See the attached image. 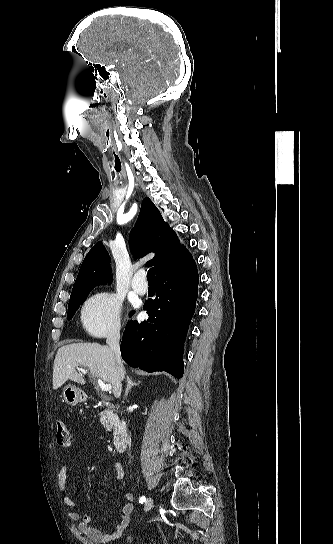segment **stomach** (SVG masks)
I'll return each mask as SVG.
<instances>
[{
  "label": "stomach",
  "instance_id": "1",
  "mask_svg": "<svg viewBox=\"0 0 333 544\" xmlns=\"http://www.w3.org/2000/svg\"><path fill=\"white\" fill-rule=\"evenodd\" d=\"M62 394L63 400L71 406H75L85 400V394L79 388L73 385L65 386Z\"/></svg>",
  "mask_w": 333,
  "mask_h": 544
}]
</instances>
